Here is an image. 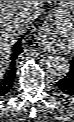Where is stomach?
I'll list each match as a JSON object with an SVG mask.
<instances>
[{"label":"stomach","mask_w":74,"mask_h":122,"mask_svg":"<svg viewBox=\"0 0 74 122\" xmlns=\"http://www.w3.org/2000/svg\"><path fill=\"white\" fill-rule=\"evenodd\" d=\"M61 20H57V21H55L54 22V25L56 26V27H58L59 25H61V22H60Z\"/></svg>","instance_id":"0dacf381"}]
</instances>
